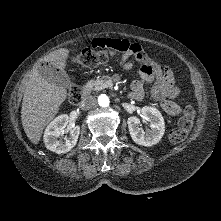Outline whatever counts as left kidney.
<instances>
[{
  "label": "left kidney",
  "mask_w": 221,
  "mask_h": 221,
  "mask_svg": "<svg viewBox=\"0 0 221 221\" xmlns=\"http://www.w3.org/2000/svg\"><path fill=\"white\" fill-rule=\"evenodd\" d=\"M141 118L147 121L150 130L144 131L140 126V119L136 116L128 118V128L133 141L142 146L157 144L165 131V123L161 113L154 107L144 106L141 109Z\"/></svg>",
  "instance_id": "obj_1"
}]
</instances>
